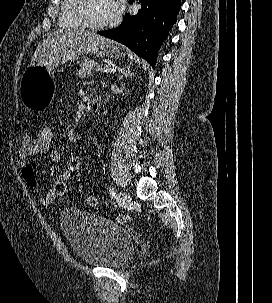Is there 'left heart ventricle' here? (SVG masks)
<instances>
[{
  "mask_svg": "<svg viewBox=\"0 0 272 303\" xmlns=\"http://www.w3.org/2000/svg\"><path fill=\"white\" fill-rule=\"evenodd\" d=\"M86 13L89 20L96 24L106 23L114 18L110 0H88Z\"/></svg>",
  "mask_w": 272,
  "mask_h": 303,
  "instance_id": "b2bd125f",
  "label": "left heart ventricle"
}]
</instances>
